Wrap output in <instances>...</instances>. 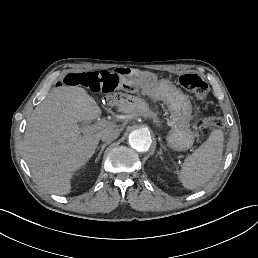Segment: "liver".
Listing matches in <instances>:
<instances>
[{
    "label": "liver",
    "mask_w": 258,
    "mask_h": 258,
    "mask_svg": "<svg viewBox=\"0 0 258 258\" xmlns=\"http://www.w3.org/2000/svg\"><path fill=\"white\" fill-rule=\"evenodd\" d=\"M137 102L136 98L134 103L123 104L130 111H140ZM100 114L94 98L78 86L53 88L32 112L26 124L23 155L34 178L48 193L70 192L72 174L88 162L100 139V132L81 130L77 123L97 119Z\"/></svg>",
    "instance_id": "obj_1"
}]
</instances>
